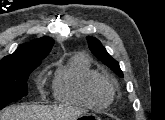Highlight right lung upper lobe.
Listing matches in <instances>:
<instances>
[{
  "label": "right lung upper lobe",
  "instance_id": "obj_1",
  "mask_svg": "<svg viewBox=\"0 0 165 120\" xmlns=\"http://www.w3.org/2000/svg\"><path fill=\"white\" fill-rule=\"evenodd\" d=\"M54 40L50 37H42L22 44L13 54L5 56L0 64H14L33 60L44 59L52 49Z\"/></svg>",
  "mask_w": 165,
  "mask_h": 120
}]
</instances>
